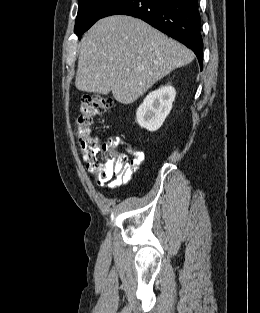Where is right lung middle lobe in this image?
Wrapping results in <instances>:
<instances>
[{
    "label": "right lung middle lobe",
    "mask_w": 260,
    "mask_h": 313,
    "mask_svg": "<svg viewBox=\"0 0 260 313\" xmlns=\"http://www.w3.org/2000/svg\"><path fill=\"white\" fill-rule=\"evenodd\" d=\"M116 1L118 0H79L74 33L81 38Z\"/></svg>",
    "instance_id": "dd1d6c3e"
}]
</instances>
